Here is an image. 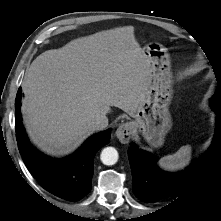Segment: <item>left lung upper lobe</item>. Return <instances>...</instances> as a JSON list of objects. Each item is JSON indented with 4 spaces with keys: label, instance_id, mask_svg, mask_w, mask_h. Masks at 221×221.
I'll list each match as a JSON object with an SVG mask.
<instances>
[{
    "label": "left lung upper lobe",
    "instance_id": "5c2ea615",
    "mask_svg": "<svg viewBox=\"0 0 221 221\" xmlns=\"http://www.w3.org/2000/svg\"><path fill=\"white\" fill-rule=\"evenodd\" d=\"M210 104L213 108L215 107V104L221 105V94L218 93V91H216L213 97L211 98Z\"/></svg>",
    "mask_w": 221,
    "mask_h": 221
}]
</instances>
